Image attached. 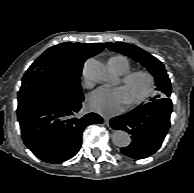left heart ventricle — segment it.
Here are the masks:
<instances>
[{"label":"left heart ventricle","instance_id":"obj_1","mask_svg":"<svg viewBox=\"0 0 194 193\" xmlns=\"http://www.w3.org/2000/svg\"><path fill=\"white\" fill-rule=\"evenodd\" d=\"M127 103L137 98L145 88V80L143 78H136L127 85H123Z\"/></svg>","mask_w":194,"mask_h":193}]
</instances>
